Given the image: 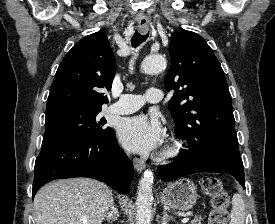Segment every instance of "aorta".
I'll list each match as a JSON object with an SVG mask.
<instances>
[{"mask_svg":"<svg viewBox=\"0 0 275 224\" xmlns=\"http://www.w3.org/2000/svg\"><path fill=\"white\" fill-rule=\"evenodd\" d=\"M166 59L161 55H149L142 62L145 73H156L165 69ZM153 173L146 170L141 177L136 198V224H151L153 202Z\"/></svg>","mask_w":275,"mask_h":224,"instance_id":"762f6f07","label":"aorta"}]
</instances>
